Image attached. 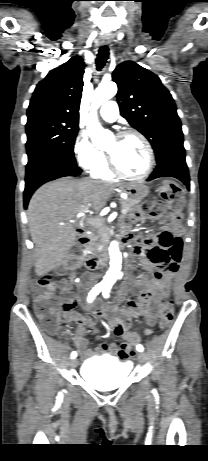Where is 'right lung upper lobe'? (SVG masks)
<instances>
[{
  "instance_id": "cb5924a9",
  "label": "right lung upper lobe",
  "mask_w": 208,
  "mask_h": 461,
  "mask_svg": "<svg viewBox=\"0 0 208 461\" xmlns=\"http://www.w3.org/2000/svg\"><path fill=\"white\" fill-rule=\"evenodd\" d=\"M85 63L80 56L51 70L30 100L27 117L61 118L79 122Z\"/></svg>"
}]
</instances>
